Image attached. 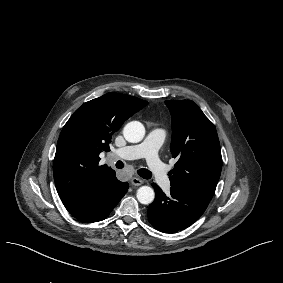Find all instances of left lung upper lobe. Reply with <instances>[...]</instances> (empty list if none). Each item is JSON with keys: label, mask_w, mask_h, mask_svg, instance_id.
I'll list each match as a JSON object with an SVG mask.
<instances>
[{"label": "left lung upper lobe", "mask_w": 283, "mask_h": 283, "mask_svg": "<svg viewBox=\"0 0 283 283\" xmlns=\"http://www.w3.org/2000/svg\"><path fill=\"white\" fill-rule=\"evenodd\" d=\"M165 104L172 115L170 150L178 159L168 174L171 186L210 202L222 168L216 129L190 100H168Z\"/></svg>", "instance_id": "obj_1"}]
</instances>
